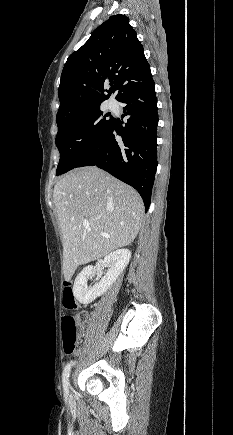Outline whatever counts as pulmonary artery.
I'll list each match as a JSON object with an SVG mask.
<instances>
[{
  "mask_svg": "<svg viewBox=\"0 0 233 435\" xmlns=\"http://www.w3.org/2000/svg\"><path fill=\"white\" fill-rule=\"evenodd\" d=\"M114 107H115V102H114V100L110 99V100L108 101V108L112 109V108H114Z\"/></svg>",
  "mask_w": 233,
  "mask_h": 435,
  "instance_id": "pulmonary-artery-1",
  "label": "pulmonary artery"
}]
</instances>
